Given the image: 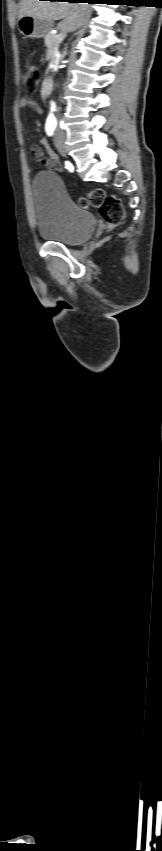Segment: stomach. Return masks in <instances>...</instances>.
<instances>
[{"label":"stomach","mask_w":162,"mask_h":851,"mask_svg":"<svg viewBox=\"0 0 162 851\" xmlns=\"http://www.w3.org/2000/svg\"><path fill=\"white\" fill-rule=\"evenodd\" d=\"M53 22L32 16H23L18 20V29L26 38L45 37L52 29Z\"/></svg>","instance_id":"stomach-1"}]
</instances>
